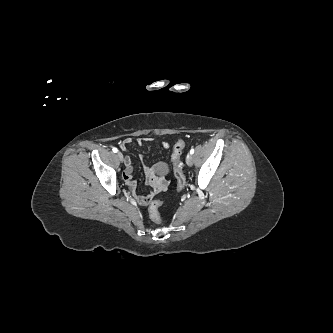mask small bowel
<instances>
[{
  "mask_svg": "<svg viewBox=\"0 0 333 333\" xmlns=\"http://www.w3.org/2000/svg\"><path fill=\"white\" fill-rule=\"evenodd\" d=\"M149 139L146 138H132L127 137L121 144V149H125L127 145L131 144L132 142H135L138 145H142L145 141H148ZM162 146L165 149H168L170 147V144L166 141L162 142ZM125 170L123 173V179L128 185V187L131 189V191L135 194L136 201L138 204L142 206H146L150 200L157 195L160 192H163L166 190L168 186V179L163 174L167 170L166 163L159 161L152 165L146 166L145 168V174L147 183L151 187V191L147 195H138L136 194L137 184L133 180V164L130 159V157H126L125 161Z\"/></svg>",
  "mask_w": 333,
  "mask_h": 333,
  "instance_id": "c3829d8e",
  "label": "small bowel"
}]
</instances>
